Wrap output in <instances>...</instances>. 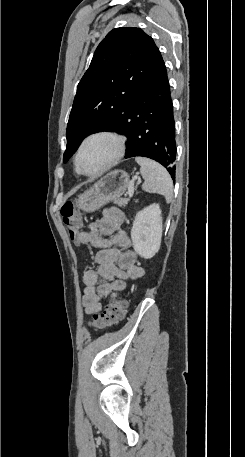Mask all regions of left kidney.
<instances>
[{
	"label": "left kidney",
	"mask_w": 245,
	"mask_h": 457,
	"mask_svg": "<svg viewBox=\"0 0 245 457\" xmlns=\"http://www.w3.org/2000/svg\"><path fill=\"white\" fill-rule=\"evenodd\" d=\"M162 216L159 204H149L139 210L131 229L134 251L143 259H152L160 249Z\"/></svg>",
	"instance_id": "5707ae66"
}]
</instances>
